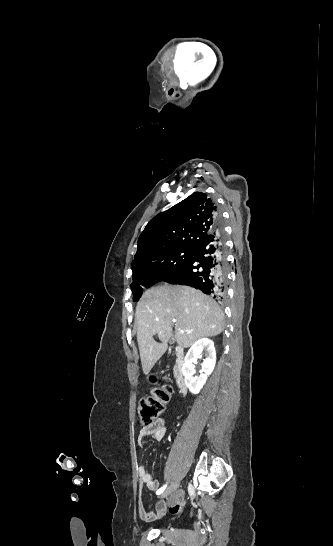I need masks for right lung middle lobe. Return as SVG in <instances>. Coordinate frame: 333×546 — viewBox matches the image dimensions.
Instances as JSON below:
<instances>
[{
  "instance_id": "dd1d6c3e",
  "label": "right lung middle lobe",
  "mask_w": 333,
  "mask_h": 546,
  "mask_svg": "<svg viewBox=\"0 0 333 546\" xmlns=\"http://www.w3.org/2000/svg\"><path fill=\"white\" fill-rule=\"evenodd\" d=\"M193 247H181L165 251L133 273L131 289L133 301H138L142 295V286L150 287L163 281L192 255Z\"/></svg>"
}]
</instances>
